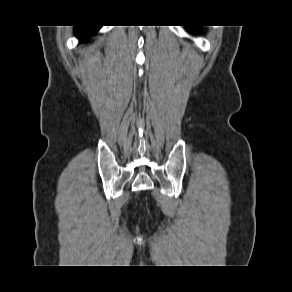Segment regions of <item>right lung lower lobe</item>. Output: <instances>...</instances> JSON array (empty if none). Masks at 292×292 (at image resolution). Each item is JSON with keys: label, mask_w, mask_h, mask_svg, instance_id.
I'll use <instances>...</instances> for the list:
<instances>
[{"label": "right lung lower lobe", "mask_w": 292, "mask_h": 292, "mask_svg": "<svg viewBox=\"0 0 292 292\" xmlns=\"http://www.w3.org/2000/svg\"><path fill=\"white\" fill-rule=\"evenodd\" d=\"M99 28L100 26H76L75 34L81 38V42H85Z\"/></svg>", "instance_id": "obj_1"}]
</instances>
